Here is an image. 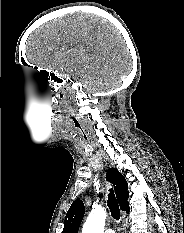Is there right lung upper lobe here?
Returning a JSON list of instances; mask_svg holds the SVG:
<instances>
[{
	"label": "right lung upper lobe",
	"mask_w": 184,
	"mask_h": 233,
	"mask_svg": "<svg viewBox=\"0 0 184 233\" xmlns=\"http://www.w3.org/2000/svg\"><path fill=\"white\" fill-rule=\"evenodd\" d=\"M107 180L110 181L115 189L116 197L120 204V208L127 213L130 211L128 204V185L124 176L115 168L108 169L106 173ZM102 197V195H99ZM85 207L82 200H76L72 203L68 210L62 233H78L79 226L83 219Z\"/></svg>",
	"instance_id": "obj_1"
}]
</instances>
